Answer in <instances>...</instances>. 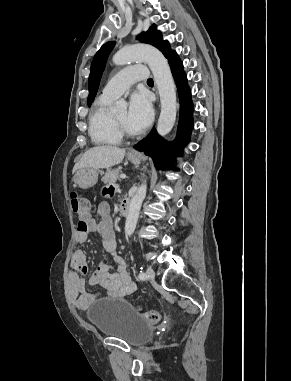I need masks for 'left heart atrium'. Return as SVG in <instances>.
<instances>
[{
    "label": "left heart atrium",
    "mask_w": 291,
    "mask_h": 381,
    "mask_svg": "<svg viewBox=\"0 0 291 381\" xmlns=\"http://www.w3.org/2000/svg\"><path fill=\"white\" fill-rule=\"evenodd\" d=\"M152 118L153 108L147 94L143 92L134 93L131 96L128 110L130 127L135 132H140L150 124Z\"/></svg>",
    "instance_id": "39dd6f15"
}]
</instances>
